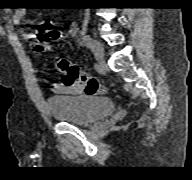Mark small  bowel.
<instances>
[{
	"label": "small bowel",
	"mask_w": 192,
	"mask_h": 180,
	"mask_svg": "<svg viewBox=\"0 0 192 180\" xmlns=\"http://www.w3.org/2000/svg\"><path fill=\"white\" fill-rule=\"evenodd\" d=\"M13 22L17 25H21L24 22V11L23 10H17L15 11L13 15ZM78 32V27L76 24H73L72 27L69 30V33L72 37L76 36ZM21 37L25 40H30L33 35L31 33H22ZM53 91L57 94H80L82 92V88L75 85H66L64 83L55 84L53 86Z\"/></svg>",
	"instance_id": "1"
}]
</instances>
